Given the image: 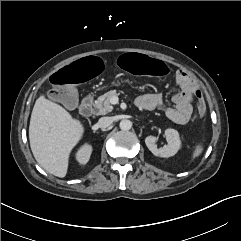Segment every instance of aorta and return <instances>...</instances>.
<instances>
[{
	"instance_id": "1",
	"label": "aorta",
	"mask_w": 241,
	"mask_h": 241,
	"mask_svg": "<svg viewBox=\"0 0 241 241\" xmlns=\"http://www.w3.org/2000/svg\"><path fill=\"white\" fill-rule=\"evenodd\" d=\"M119 126L121 130L128 131L132 127V122L130 120L125 119L120 122Z\"/></svg>"
}]
</instances>
